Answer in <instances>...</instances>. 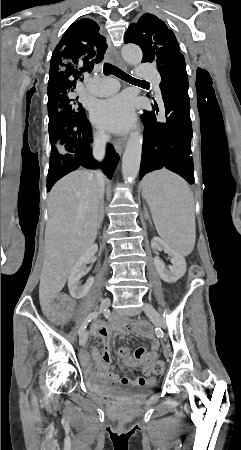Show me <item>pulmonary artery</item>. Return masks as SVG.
<instances>
[{
	"mask_svg": "<svg viewBox=\"0 0 241 450\" xmlns=\"http://www.w3.org/2000/svg\"><path fill=\"white\" fill-rule=\"evenodd\" d=\"M139 78L144 80L145 84H151L158 94V90L161 87L159 83V77L157 71H147V66L145 64H140L138 66ZM90 92H103L97 94L100 97L106 96L109 92H115L117 90V81L113 78H88L87 81Z\"/></svg>",
	"mask_w": 241,
	"mask_h": 450,
	"instance_id": "e3ab8cb5",
	"label": "pulmonary artery"
}]
</instances>
